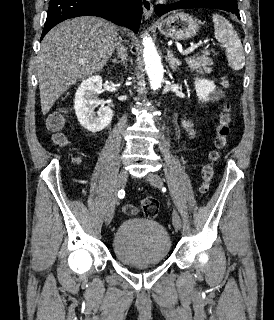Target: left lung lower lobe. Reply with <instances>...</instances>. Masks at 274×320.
Segmentation results:
<instances>
[{
  "instance_id": "1",
  "label": "left lung lower lobe",
  "mask_w": 274,
  "mask_h": 320,
  "mask_svg": "<svg viewBox=\"0 0 274 320\" xmlns=\"http://www.w3.org/2000/svg\"><path fill=\"white\" fill-rule=\"evenodd\" d=\"M190 8L221 9L236 14L240 18L237 3H231L227 0H183L182 2L176 4H158L155 7V13L158 16H162L163 14L172 10Z\"/></svg>"
}]
</instances>
